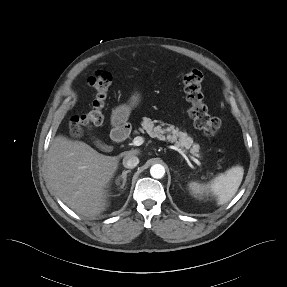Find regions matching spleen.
I'll return each instance as SVG.
<instances>
[{"mask_svg": "<svg viewBox=\"0 0 287 287\" xmlns=\"http://www.w3.org/2000/svg\"><path fill=\"white\" fill-rule=\"evenodd\" d=\"M243 174V167L235 166L215 177L207 185L193 182L189 184V187L193 193L196 194H203L204 192L208 194L211 192L212 195L217 197L218 205H224L228 203L237 192L242 182Z\"/></svg>", "mask_w": 287, "mask_h": 287, "instance_id": "spleen-1", "label": "spleen"}]
</instances>
